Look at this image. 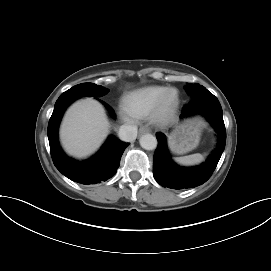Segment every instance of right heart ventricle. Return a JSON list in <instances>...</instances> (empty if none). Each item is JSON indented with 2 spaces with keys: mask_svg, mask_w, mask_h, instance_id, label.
I'll use <instances>...</instances> for the list:
<instances>
[{
  "mask_svg": "<svg viewBox=\"0 0 271 271\" xmlns=\"http://www.w3.org/2000/svg\"><path fill=\"white\" fill-rule=\"evenodd\" d=\"M167 89L165 86L151 85L131 91L123 97V108L132 117H144L151 113L158 99Z\"/></svg>",
  "mask_w": 271,
  "mask_h": 271,
  "instance_id": "obj_1",
  "label": "right heart ventricle"
}]
</instances>
